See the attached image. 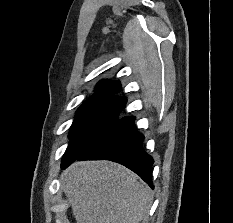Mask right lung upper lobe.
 <instances>
[{
    "label": "right lung upper lobe",
    "instance_id": "right-lung-upper-lobe-1",
    "mask_svg": "<svg viewBox=\"0 0 233 223\" xmlns=\"http://www.w3.org/2000/svg\"><path fill=\"white\" fill-rule=\"evenodd\" d=\"M95 89V94H115L121 89V86L118 81H106L99 84Z\"/></svg>",
    "mask_w": 233,
    "mask_h": 223
}]
</instances>
